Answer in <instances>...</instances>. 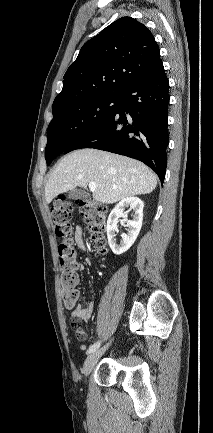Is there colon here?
I'll return each mask as SVG.
<instances>
[{"mask_svg": "<svg viewBox=\"0 0 213 433\" xmlns=\"http://www.w3.org/2000/svg\"><path fill=\"white\" fill-rule=\"evenodd\" d=\"M77 203L96 251L99 254H105L104 232L107 223V208L93 199H82ZM51 217L56 235L63 238V241L58 247L61 267V298L65 307L70 310L75 307L79 296L76 289L77 274L75 270V251L69 237L72 231V203L60 201L53 207ZM70 324L76 336L81 338L83 328L80 321L76 318H72Z\"/></svg>", "mask_w": 213, "mask_h": 433, "instance_id": "1", "label": "colon"}]
</instances>
